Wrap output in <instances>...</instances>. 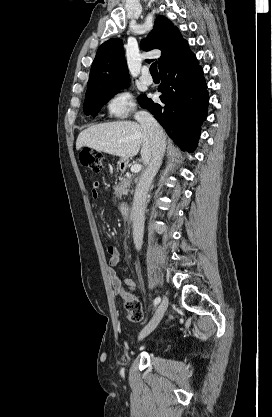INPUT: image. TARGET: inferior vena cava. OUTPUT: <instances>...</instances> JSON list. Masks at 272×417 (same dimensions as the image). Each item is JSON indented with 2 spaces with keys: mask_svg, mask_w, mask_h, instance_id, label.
<instances>
[{
  "mask_svg": "<svg viewBox=\"0 0 272 417\" xmlns=\"http://www.w3.org/2000/svg\"><path fill=\"white\" fill-rule=\"evenodd\" d=\"M135 119L148 131L152 155L151 160L137 184L132 206L133 240L137 250L141 249L144 234L146 198L157 174L165 152V133L156 119L147 111H139Z\"/></svg>",
  "mask_w": 272,
  "mask_h": 417,
  "instance_id": "602c4592",
  "label": "inferior vena cava"
}]
</instances>
